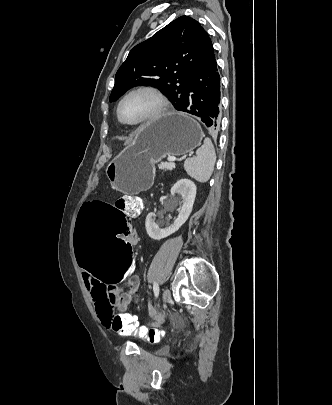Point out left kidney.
I'll list each match as a JSON object with an SVG mask.
<instances>
[{
	"mask_svg": "<svg viewBox=\"0 0 332 405\" xmlns=\"http://www.w3.org/2000/svg\"><path fill=\"white\" fill-rule=\"evenodd\" d=\"M196 185L188 179H181L171 188V194H180L182 202L179 208V215L173 224L164 228L161 226L167 225L168 221H160L155 223L156 214L151 212L147 215L145 227L147 234L154 240H160L175 233L189 218L196 197Z\"/></svg>",
	"mask_w": 332,
	"mask_h": 405,
	"instance_id": "obj_1",
	"label": "left kidney"
}]
</instances>
